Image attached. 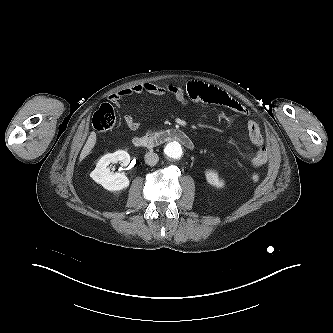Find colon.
Instances as JSON below:
<instances>
[{
  "label": "colon",
  "mask_w": 333,
  "mask_h": 333,
  "mask_svg": "<svg viewBox=\"0 0 333 333\" xmlns=\"http://www.w3.org/2000/svg\"><path fill=\"white\" fill-rule=\"evenodd\" d=\"M115 120V112L112 105L104 103L95 112L92 120V126L96 131L106 132L113 128ZM251 180L253 182H258L260 180V176L258 174H253L251 176Z\"/></svg>",
  "instance_id": "5ec220e1"
}]
</instances>
